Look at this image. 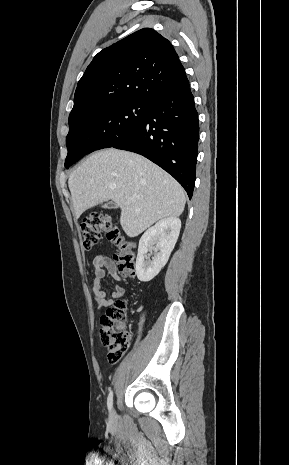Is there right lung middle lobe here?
Instances as JSON below:
<instances>
[{
  "mask_svg": "<svg viewBox=\"0 0 289 465\" xmlns=\"http://www.w3.org/2000/svg\"><path fill=\"white\" fill-rule=\"evenodd\" d=\"M149 108L150 101L147 100L117 101L90 107L86 117L69 129L65 167L69 168L86 154L111 147L125 138L145 120Z\"/></svg>",
  "mask_w": 289,
  "mask_h": 465,
  "instance_id": "right-lung-middle-lobe-1",
  "label": "right lung middle lobe"
}]
</instances>
